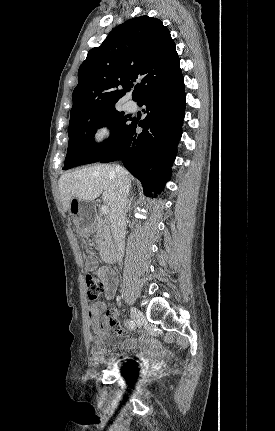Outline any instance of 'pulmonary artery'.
Here are the masks:
<instances>
[{
	"label": "pulmonary artery",
	"instance_id": "obj_1",
	"mask_svg": "<svg viewBox=\"0 0 275 431\" xmlns=\"http://www.w3.org/2000/svg\"><path fill=\"white\" fill-rule=\"evenodd\" d=\"M126 108H127L129 111H133V110H135V109H136V104H135L133 101H129V102H127V104H126Z\"/></svg>",
	"mask_w": 275,
	"mask_h": 431
}]
</instances>
